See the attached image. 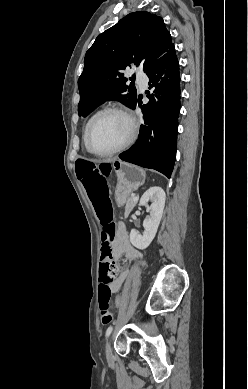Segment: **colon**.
Here are the masks:
<instances>
[{"label": "colon", "mask_w": 248, "mask_h": 389, "mask_svg": "<svg viewBox=\"0 0 248 389\" xmlns=\"http://www.w3.org/2000/svg\"><path fill=\"white\" fill-rule=\"evenodd\" d=\"M76 167L79 179L102 226L99 308L101 322L106 325L113 320V313L110 309L111 285L116 280L118 272L111 253V246L116 235V223L108 189V176L112 171V166L110 161L89 162L86 157H77ZM114 299V308L119 310L125 296L115 294Z\"/></svg>", "instance_id": "5ec220e1"}]
</instances>
